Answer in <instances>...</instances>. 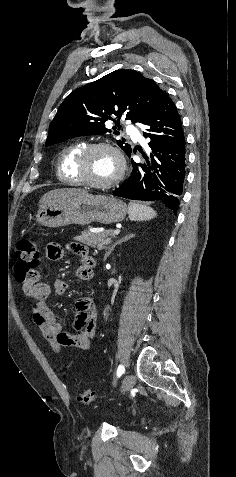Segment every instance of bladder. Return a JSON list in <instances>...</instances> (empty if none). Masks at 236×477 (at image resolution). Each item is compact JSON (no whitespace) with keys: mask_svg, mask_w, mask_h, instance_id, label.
I'll use <instances>...</instances> for the list:
<instances>
[{"mask_svg":"<svg viewBox=\"0 0 236 477\" xmlns=\"http://www.w3.org/2000/svg\"><path fill=\"white\" fill-rule=\"evenodd\" d=\"M108 417L113 419V422L119 424L123 421V417L119 414H108Z\"/></svg>","mask_w":236,"mask_h":477,"instance_id":"obj_1","label":"bladder"}]
</instances>
